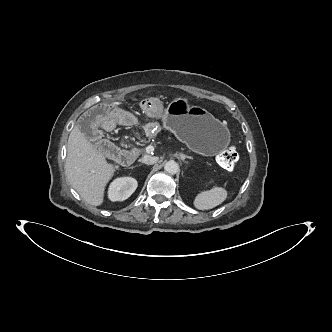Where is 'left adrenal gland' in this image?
<instances>
[{
	"mask_svg": "<svg viewBox=\"0 0 332 332\" xmlns=\"http://www.w3.org/2000/svg\"><path fill=\"white\" fill-rule=\"evenodd\" d=\"M179 156L183 162L185 159H193L191 156L184 155L183 153H180Z\"/></svg>",
	"mask_w": 332,
	"mask_h": 332,
	"instance_id": "a2214340",
	"label": "left adrenal gland"
}]
</instances>
